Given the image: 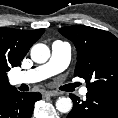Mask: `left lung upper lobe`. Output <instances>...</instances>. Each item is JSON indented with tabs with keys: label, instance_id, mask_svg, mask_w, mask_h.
<instances>
[{
	"label": "left lung upper lobe",
	"instance_id": "left-lung-upper-lobe-1",
	"mask_svg": "<svg viewBox=\"0 0 118 118\" xmlns=\"http://www.w3.org/2000/svg\"><path fill=\"white\" fill-rule=\"evenodd\" d=\"M59 32L76 46L74 75L85 79L88 92L118 98V38L83 25L63 27Z\"/></svg>",
	"mask_w": 118,
	"mask_h": 118
}]
</instances>
